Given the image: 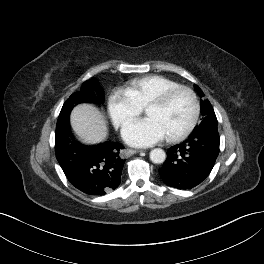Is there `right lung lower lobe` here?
Returning a JSON list of instances; mask_svg holds the SVG:
<instances>
[{"label": "right lung lower lobe", "instance_id": "98d812e1", "mask_svg": "<svg viewBox=\"0 0 264 264\" xmlns=\"http://www.w3.org/2000/svg\"><path fill=\"white\" fill-rule=\"evenodd\" d=\"M124 147L112 141L94 146L80 144L70 127L55 138V154L69 182L88 195H105L121 182Z\"/></svg>", "mask_w": 264, "mask_h": 264}]
</instances>
